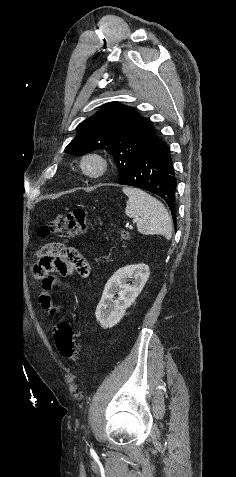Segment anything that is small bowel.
<instances>
[{
    "mask_svg": "<svg viewBox=\"0 0 236 477\" xmlns=\"http://www.w3.org/2000/svg\"><path fill=\"white\" fill-rule=\"evenodd\" d=\"M48 246L56 249L57 253L49 254L44 258L39 257L35 272L39 278H42V292L39 296V303L44 311L52 316H56L59 308L54 304L51 295V289L56 284V281L49 274L56 272L60 276H68L75 271H79L83 275H88L90 267L85 258L76 249L60 243H50ZM77 256L83 257L87 273L82 272V265L76 260Z\"/></svg>",
    "mask_w": 236,
    "mask_h": 477,
    "instance_id": "obj_1",
    "label": "small bowel"
}]
</instances>
